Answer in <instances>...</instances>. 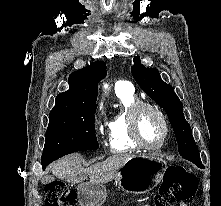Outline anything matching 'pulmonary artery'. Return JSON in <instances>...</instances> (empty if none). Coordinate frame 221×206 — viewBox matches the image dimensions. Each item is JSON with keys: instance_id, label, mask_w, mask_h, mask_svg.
<instances>
[{"instance_id": "pulmonary-artery-1", "label": "pulmonary artery", "mask_w": 221, "mask_h": 206, "mask_svg": "<svg viewBox=\"0 0 221 206\" xmlns=\"http://www.w3.org/2000/svg\"><path fill=\"white\" fill-rule=\"evenodd\" d=\"M115 89L118 91H132V85L128 81H118Z\"/></svg>"}]
</instances>
